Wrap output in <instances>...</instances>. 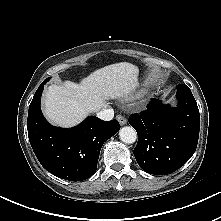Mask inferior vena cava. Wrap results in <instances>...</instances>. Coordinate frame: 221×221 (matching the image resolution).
Returning <instances> with one entry per match:
<instances>
[{
    "label": "inferior vena cava",
    "mask_w": 221,
    "mask_h": 221,
    "mask_svg": "<svg viewBox=\"0 0 221 221\" xmlns=\"http://www.w3.org/2000/svg\"><path fill=\"white\" fill-rule=\"evenodd\" d=\"M97 117L104 121L112 120L114 117V110L112 108H103L96 113Z\"/></svg>",
    "instance_id": "obj_1"
}]
</instances>
